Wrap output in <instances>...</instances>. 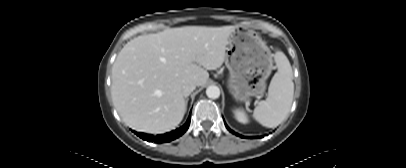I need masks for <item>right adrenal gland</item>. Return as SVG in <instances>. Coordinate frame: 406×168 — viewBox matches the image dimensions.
<instances>
[{
    "label": "right adrenal gland",
    "instance_id": "obj_1",
    "mask_svg": "<svg viewBox=\"0 0 406 168\" xmlns=\"http://www.w3.org/2000/svg\"><path fill=\"white\" fill-rule=\"evenodd\" d=\"M188 100H189V98L186 97V99H185V105H186V106H187V104H188Z\"/></svg>",
    "mask_w": 406,
    "mask_h": 168
}]
</instances>
